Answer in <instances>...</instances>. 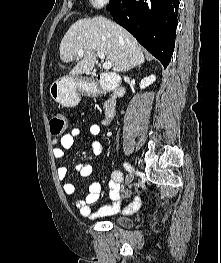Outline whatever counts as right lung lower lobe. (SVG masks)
<instances>
[{
  "label": "right lung lower lobe",
  "instance_id": "obj_1",
  "mask_svg": "<svg viewBox=\"0 0 221 263\" xmlns=\"http://www.w3.org/2000/svg\"><path fill=\"white\" fill-rule=\"evenodd\" d=\"M178 6L179 0H110L107 10L166 68L175 46Z\"/></svg>",
  "mask_w": 221,
  "mask_h": 263
}]
</instances>
